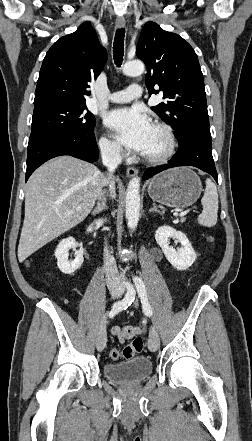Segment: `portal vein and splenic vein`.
<instances>
[{
  "mask_svg": "<svg viewBox=\"0 0 252 441\" xmlns=\"http://www.w3.org/2000/svg\"><path fill=\"white\" fill-rule=\"evenodd\" d=\"M189 210L183 211L179 214L180 218H184L188 214Z\"/></svg>",
  "mask_w": 252,
  "mask_h": 441,
  "instance_id": "18ae733b",
  "label": "portal vein and splenic vein"
}]
</instances>
